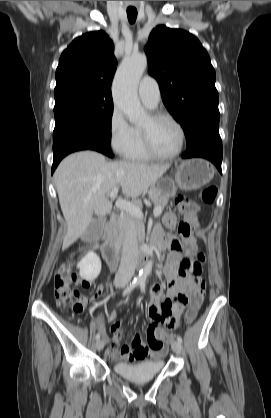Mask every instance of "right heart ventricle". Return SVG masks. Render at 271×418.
<instances>
[{"label": "right heart ventricle", "mask_w": 271, "mask_h": 418, "mask_svg": "<svg viewBox=\"0 0 271 418\" xmlns=\"http://www.w3.org/2000/svg\"><path fill=\"white\" fill-rule=\"evenodd\" d=\"M124 156L135 161H147L153 158L145 148L139 127H133V140Z\"/></svg>", "instance_id": "e07e8e85"}]
</instances>
